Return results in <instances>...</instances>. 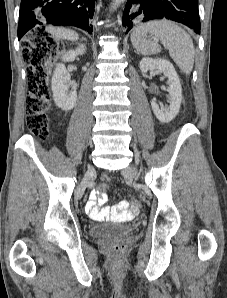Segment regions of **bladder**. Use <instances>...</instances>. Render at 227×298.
Listing matches in <instances>:
<instances>
[{"label":"bladder","instance_id":"obj_1","mask_svg":"<svg viewBox=\"0 0 227 298\" xmlns=\"http://www.w3.org/2000/svg\"><path fill=\"white\" fill-rule=\"evenodd\" d=\"M132 230L128 224L122 223H101L90 227L89 233L95 238H118L127 235Z\"/></svg>","mask_w":227,"mask_h":298}]
</instances>
